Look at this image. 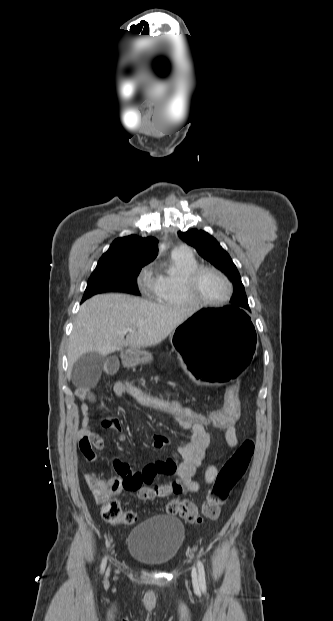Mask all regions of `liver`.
<instances>
[{"label": "liver", "mask_w": 333, "mask_h": 621, "mask_svg": "<svg viewBox=\"0 0 333 621\" xmlns=\"http://www.w3.org/2000/svg\"><path fill=\"white\" fill-rule=\"evenodd\" d=\"M192 311L155 304L126 294H102L84 302L73 324L68 345V378L84 354L106 356L125 347L140 349L161 343ZM131 328L126 339L122 330Z\"/></svg>", "instance_id": "6515ba94"}]
</instances>
